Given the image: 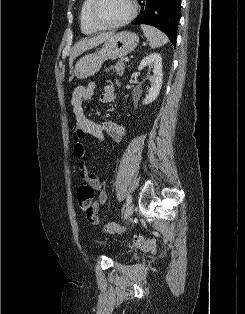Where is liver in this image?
<instances>
[{
    "label": "liver",
    "instance_id": "6515ba94",
    "mask_svg": "<svg viewBox=\"0 0 245 314\" xmlns=\"http://www.w3.org/2000/svg\"><path fill=\"white\" fill-rule=\"evenodd\" d=\"M111 35H113V32H108V33H101L98 36L92 37V38H85L80 41H78L73 49L72 53L69 58V66L71 67L73 64V61L76 57L81 55L87 50H90L103 42H105Z\"/></svg>",
    "mask_w": 245,
    "mask_h": 314
}]
</instances>
